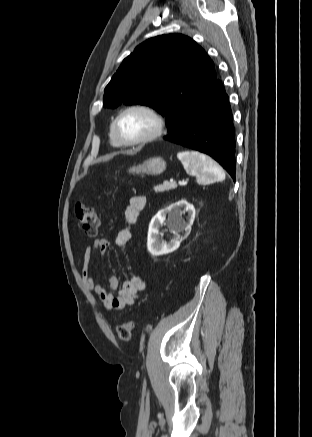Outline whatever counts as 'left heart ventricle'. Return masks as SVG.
Instances as JSON below:
<instances>
[{"mask_svg": "<svg viewBox=\"0 0 312 437\" xmlns=\"http://www.w3.org/2000/svg\"><path fill=\"white\" fill-rule=\"evenodd\" d=\"M155 128L154 119L143 111H130L120 121V131L128 140L149 135Z\"/></svg>", "mask_w": 312, "mask_h": 437, "instance_id": "1", "label": "left heart ventricle"}]
</instances>
